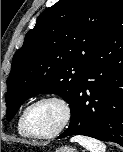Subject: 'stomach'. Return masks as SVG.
<instances>
[{
	"mask_svg": "<svg viewBox=\"0 0 123 152\" xmlns=\"http://www.w3.org/2000/svg\"><path fill=\"white\" fill-rule=\"evenodd\" d=\"M55 152H77L76 149L68 146L60 147Z\"/></svg>",
	"mask_w": 123,
	"mask_h": 152,
	"instance_id": "obj_1",
	"label": "stomach"
}]
</instances>
